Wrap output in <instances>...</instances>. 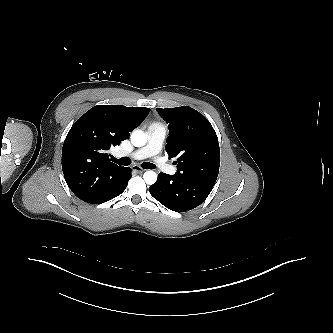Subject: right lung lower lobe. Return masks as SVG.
I'll return each mask as SVG.
<instances>
[{"instance_id": "obj_1", "label": "right lung lower lobe", "mask_w": 333, "mask_h": 333, "mask_svg": "<svg viewBox=\"0 0 333 333\" xmlns=\"http://www.w3.org/2000/svg\"><path fill=\"white\" fill-rule=\"evenodd\" d=\"M131 178V169L124 167L119 178L110 182L105 188L98 191L89 201L91 204H101L122 194Z\"/></svg>"}]
</instances>
